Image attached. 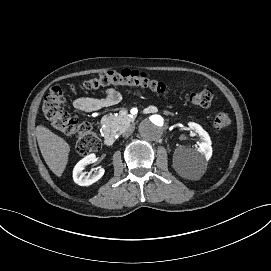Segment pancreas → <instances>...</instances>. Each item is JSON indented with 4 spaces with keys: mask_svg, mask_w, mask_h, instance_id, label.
<instances>
[{
    "mask_svg": "<svg viewBox=\"0 0 271 271\" xmlns=\"http://www.w3.org/2000/svg\"><path fill=\"white\" fill-rule=\"evenodd\" d=\"M130 119H124L122 116L106 115L102 117L101 124L105 126L104 130L117 132L119 128L125 124V121Z\"/></svg>",
    "mask_w": 271,
    "mask_h": 271,
    "instance_id": "1",
    "label": "pancreas"
}]
</instances>
